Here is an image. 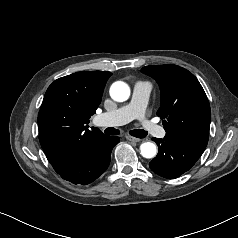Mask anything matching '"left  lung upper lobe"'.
Wrapping results in <instances>:
<instances>
[{
  "label": "left lung upper lobe",
  "instance_id": "left-lung-upper-lobe-1",
  "mask_svg": "<svg viewBox=\"0 0 238 238\" xmlns=\"http://www.w3.org/2000/svg\"><path fill=\"white\" fill-rule=\"evenodd\" d=\"M141 72L159 84L161 102L157 115L163 119L166 135L206 146L211 110L197 78L177 65H150Z\"/></svg>",
  "mask_w": 238,
  "mask_h": 238
}]
</instances>
